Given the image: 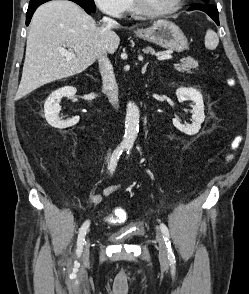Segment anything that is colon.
<instances>
[{"instance_id": "colon-1", "label": "colon", "mask_w": 249, "mask_h": 294, "mask_svg": "<svg viewBox=\"0 0 249 294\" xmlns=\"http://www.w3.org/2000/svg\"><path fill=\"white\" fill-rule=\"evenodd\" d=\"M227 81H228V83H230V79H228ZM118 216H119V217H120V216H125V217H126V214H125L124 211H122V213H120Z\"/></svg>"}]
</instances>
